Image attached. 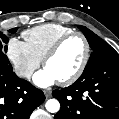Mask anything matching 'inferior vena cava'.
<instances>
[{"instance_id":"602c4592","label":"inferior vena cava","mask_w":119,"mask_h":119,"mask_svg":"<svg viewBox=\"0 0 119 119\" xmlns=\"http://www.w3.org/2000/svg\"><path fill=\"white\" fill-rule=\"evenodd\" d=\"M32 71L30 70H20V71H17V75L19 77H26V78H30L32 76Z\"/></svg>"}]
</instances>
